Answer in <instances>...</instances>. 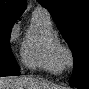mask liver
Returning a JSON list of instances; mask_svg holds the SVG:
<instances>
[{"label":"liver","instance_id":"6515ba94","mask_svg":"<svg viewBox=\"0 0 89 89\" xmlns=\"http://www.w3.org/2000/svg\"><path fill=\"white\" fill-rule=\"evenodd\" d=\"M0 87L1 89H46V86L30 78H2Z\"/></svg>","mask_w":89,"mask_h":89}]
</instances>
